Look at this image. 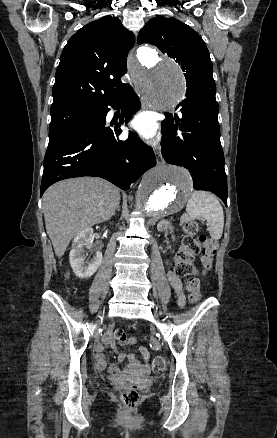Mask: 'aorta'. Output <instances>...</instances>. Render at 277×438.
<instances>
[{
	"label": "aorta",
	"mask_w": 277,
	"mask_h": 438,
	"mask_svg": "<svg viewBox=\"0 0 277 438\" xmlns=\"http://www.w3.org/2000/svg\"><path fill=\"white\" fill-rule=\"evenodd\" d=\"M139 65L133 70L135 84L153 108L167 110L182 100L185 82L182 71L172 59L159 56L148 47L138 50ZM187 170L173 165H159L142 178L137 191V214L149 224L179 212L192 191Z\"/></svg>",
	"instance_id": "1"
}]
</instances>
